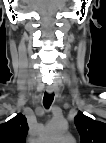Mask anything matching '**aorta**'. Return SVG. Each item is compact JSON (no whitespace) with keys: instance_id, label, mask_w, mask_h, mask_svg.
Returning a JSON list of instances; mask_svg holds the SVG:
<instances>
[{"instance_id":"1","label":"aorta","mask_w":106,"mask_h":143,"mask_svg":"<svg viewBox=\"0 0 106 143\" xmlns=\"http://www.w3.org/2000/svg\"><path fill=\"white\" fill-rule=\"evenodd\" d=\"M67 130L66 122L62 120L50 121L42 134L43 141H55Z\"/></svg>"}]
</instances>
